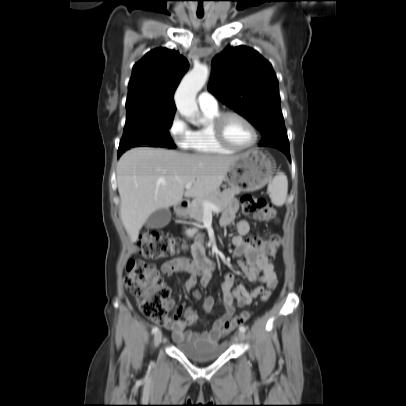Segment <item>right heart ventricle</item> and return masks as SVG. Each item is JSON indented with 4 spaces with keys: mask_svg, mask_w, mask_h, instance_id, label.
I'll return each mask as SVG.
<instances>
[{
    "mask_svg": "<svg viewBox=\"0 0 406 406\" xmlns=\"http://www.w3.org/2000/svg\"><path fill=\"white\" fill-rule=\"evenodd\" d=\"M206 123L192 131L187 148L195 153L203 154H230L232 150L221 146L215 139L212 130V121L220 113L215 109H202Z\"/></svg>",
    "mask_w": 406,
    "mask_h": 406,
    "instance_id": "e07e8e85",
    "label": "right heart ventricle"
}]
</instances>
